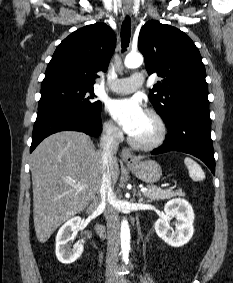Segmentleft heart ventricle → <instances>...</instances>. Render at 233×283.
<instances>
[{
	"mask_svg": "<svg viewBox=\"0 0 233 283\" xmlns=\"http://www.w3.org/2000/svg\"><path fill=\"white\" fill-rule=\"evenodd\" d=\"M157 133L158 126L155 120L145 113L130 135L139 141H150L156 137Z\"/></svg>",
	"mask_w": 233,
	"mask_h": 283,
	"instance_id": "1",
	"label": "left heart ventricle"
}]
</instances>
